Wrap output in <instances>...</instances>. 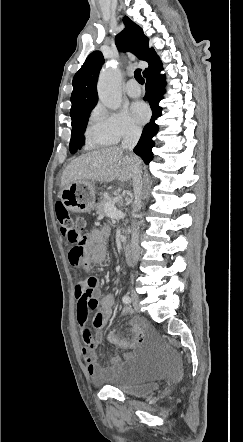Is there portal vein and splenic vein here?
I'll return each mask as SVG.
<instances>
[{"label": "portal vein and splenic vein", "instance_id": "1", "mask_svg": "<svg viewBox=\"0 0 243 442\" xmlns=\"http://www.w3.org/2000/svg\"><path fill=\"white\" fill-rule=\"evenodd\" d=\"M105 212H106L107 216H109L110 218H113V219H120L124 216V214L121 211L116 209L114 204H106L105 205Z\"/></svg>", "mask_w": 243, "mask_h": 442}]
</instances>
